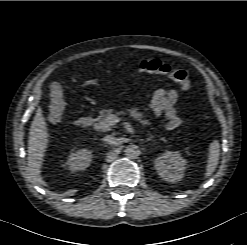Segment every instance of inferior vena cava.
Masks as SVG:
<instances>
[{
	"instance_id": "inferior-vena-cava-1",
	"label": "inferior vena cava",
	"mask_w": 247,
	"mask_h": 245,
	"mask_svg": "<svg viewBox=\"0 0 247 245\" xmlns=\"http://www.w3.org/2000/svg\"><path fill=\"white\" fill-rule=\"evenodd\" d=\"M103 141H105L106 143H108L110 145H116L118 143V139L116 137L111 136V135H106L103 138Z\"/></svg>"
}]
</instances>
